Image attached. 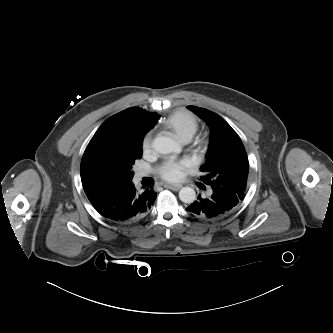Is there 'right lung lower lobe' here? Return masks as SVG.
Masks as SVG:
<instances>
[{"label":"right lung lower lobe","instance_id":"98d812e1","mask_svg":"<svg viewBox=\"0 0 333 333\" xmlns=\"http://www.w3.org/2000/svg\"><path fill=\"white\" fill-rule=\"evenodd\" d=\"M93 207L108 220L118 224L138 221L150 210L156 199L153 189L138 192L132 181L99 182L83 186Z\"/></svg>","mask_w":333,"mask_h":333}]
</instances>
